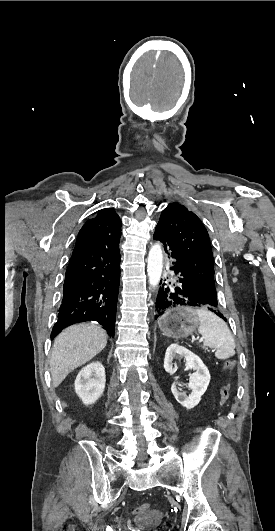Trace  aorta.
<instances>
[{"mask_svg":"<svg viewBox=\"0 0 275 531\" xmlns=\"http://www.w3.org/2000/svg\"><path fill=\"white\" fill-rule=\"evenodd\" d=\"M163 271V253L162 247L159 243H155L151 247L148 255L147 273L149 279V285L152 289H155L160 283L161 275Z\"/></svg>","mask_w":275,"mask_h":531,"instance_id":"obj_1","label":"aorta"}]
</instances>
